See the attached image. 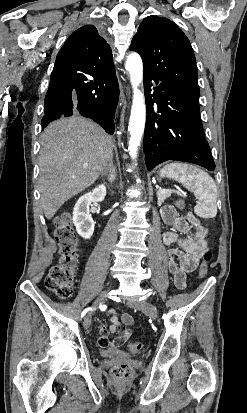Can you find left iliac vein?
<instances>
[{"label":"left iliac vein","instance_id":"4c4485c4","mask_svg":"<svg viewBox=\"0 0 247 413\" xmlns=\"http://www.w3.org/2000/svg\"><path fill=\"white\" fill-rule=\"evenodd\" d=\"M128 306L131 308L139 309L141 312L147 314L150 318L156 319L158 316V311L155 305L143 301L131 300L127 302Z\"/></svg>","mask_w":247,"mask_h":413}]
</instances>
